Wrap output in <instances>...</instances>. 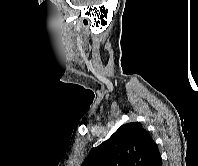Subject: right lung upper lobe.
<instances>
[{"label":"right lung upper lobe","instance_id":"1","mask_svg":"<svg viewBox=\"0 0 198 166\" xmlns=\"http://www.w3.org/2000/svg\"><path fill=\"white\" fill-rule=\"evenodd\" d=\"M159 154L150 134L136 122L120 126L94 148L82 166H149Z\"/></svg>","mask_w":198,"mask_h":166}]
</instances>
